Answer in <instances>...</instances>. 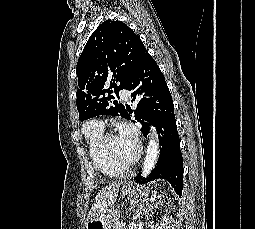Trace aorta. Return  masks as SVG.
Here are the masks:
<instances>
[{"mask_svg":"<svg viewBox=\"0 0 255 229\" xmlns=\"http://www.w3.org/2000/svg\"><path fill=\"white\" fill-rule=\"evenodd\" d=\"M159 155V140L155 130L150 134L146 156L142 166V176L146 178L153 170ZM142 222H137L135 229H142Z\"/></svg>","mask_w":255,"mask_h":229,"instance_id":"762f6f07","label":"aorta"}]
</instances>
